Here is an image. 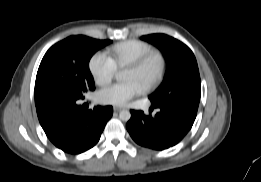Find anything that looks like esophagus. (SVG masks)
<instances>
[{
    "label": "esophagus",
    "mask_w": 261,
    "mask_h": 182,
    "mask_svg": "<svg viewBox=\"0 0 261 182\" xmlns=\"http://www.w3.org/2000/svg\"><path fill=\"white\" fill-rule=\"evenodd\" d=\"M113 109H114L115 112H119V111L123 110L124 108L115 106Z\"/></svg>",
    "instance_id": "esophagus-1"
}]
</instances>
